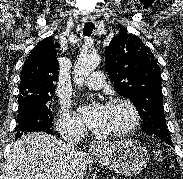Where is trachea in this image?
I'll return each instance as SVG.
<instances>
[{
    "label": "trachea",
    "mask_w": 183,
    "mask_h": 179,
    "mask_svg": "<svg viewBox=\"0 0 183 179\" xmlns=\"http://www.w3.org/2000/svg\"><path fill=\"white\" fill-rule=\"evenodd\" d=\"M95 28V25L93 23H86L84 28H83V35L84 36H89L91 35L93 29Z\"/></svg>",
    "instance_id": "trachea-1"
}]
</instances>
